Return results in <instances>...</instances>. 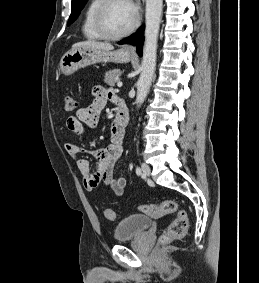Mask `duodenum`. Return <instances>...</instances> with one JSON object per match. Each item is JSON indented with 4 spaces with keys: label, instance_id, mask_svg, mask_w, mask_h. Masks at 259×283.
Instances as JSON below:
<instances>
[{
    "label": "duodenum",
    "instance_id": "duodenum-1",
    "mask_svg": "<svg viewBox=\"0 0 259 283\" xmlns=\"http://www.w3.org/2000/svg\"><path fill=\"white\" fill-rule=\"evenodd\" d=\"M117 104H118V110L114 120V125L119 130H125L129 121L128 109L120 100L117 102Z\"/></svg>",
    "mask_w": 259,
    "mask_h": 283
}]
</instances>
